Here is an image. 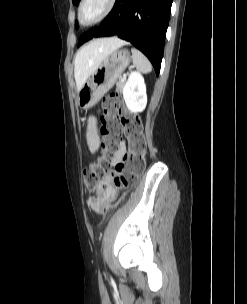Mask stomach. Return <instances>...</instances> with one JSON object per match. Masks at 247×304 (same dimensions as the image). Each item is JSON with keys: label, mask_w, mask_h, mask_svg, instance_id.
<instances>
[{"label": "stomach", "mask_w": 247, "mask_h": 304, "mask_svg": "<svg viewBox=\"0 0 247 304\" xmlns=\"http://www.w3.org/2000/svg\"><path fill=\"white\" fill-rule=\"evenodd\" d=\"M131 60L127 49L116 50L107 56L78 91L77 103L81 108L94 106L115 84Z\"/></svg>", "instance_id": "1"}]
</instances>
